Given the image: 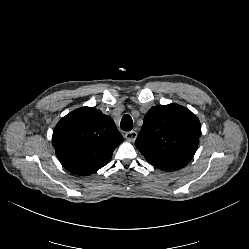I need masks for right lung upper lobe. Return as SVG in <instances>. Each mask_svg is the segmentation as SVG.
<instances>
[{"label":"right lung upper lobe","instance_id":"obj_1","mask_svg":"<svg viewBox=\"0 0 249 249\" xmlns=\"http://www.w3.org/2000/svg\"><path fill=\"white\" fill-rule=\"evenodd\" d=\"M123 141L113 119L92 107L63 117L53 131L52 143L65 169L85 176L105 166Z\"/></svg>","mask_w":249,"mask_h":249}]
</instances>
